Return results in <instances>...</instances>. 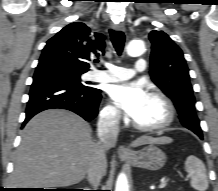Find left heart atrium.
Masks as SVG:
<instances>
[{
  "label": "left heart atrium",
  "mask_w": 218,
  "mask_h": 191,
  "mask_svg": "<svg viewBox=\"0 0 218 191\" xmlns=\"http://www.w3.org/2000/svg\"><path fill=\"white\" fill-rule=\"evenodd\" d=\"M110 97L133 120L140 113L149 97V93L141 82H133L113 86Z\"/></svg>",
  "instance_id": "39dd6f15"
}]
</instances>
